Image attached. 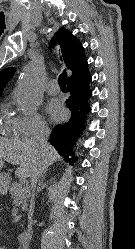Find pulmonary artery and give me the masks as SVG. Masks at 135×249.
I'll return each mask as SVG.
<instances>
[{"label": "pulmonary artery", "instance_id": "obj_1", "mask_svg": "<svg viewBox=\"0 0 135 249\" xmlns=\"http://www.w3.org/2000/svg\"><path fill=\"white\" fill-rule=\"evenodd\" d=\"M46 90L50 95H56L59 93L60 91V87L57 83V81L52 80L50 81L47 86H46Z\"/></svg>", "mask_w": 135, "mask_h": 249}]
</instances>
